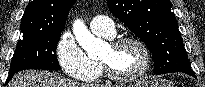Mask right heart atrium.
<instances>
[{"label":"right heart atrium","instance_id":"d8ad5b80","mask_svg":"<svg viewBox=\"0 0 205 87\" xmlns=\"http://www.w3.org/2000/svg\"><path fill=\"white\" fill-rule=\"evenodd\" d=\"M55 55L64 73L73 79H84L96 70L92 60L70 32H64L58 39Z\"/></svg>","mask_w":205,"mask_h":87}]
</instances>
